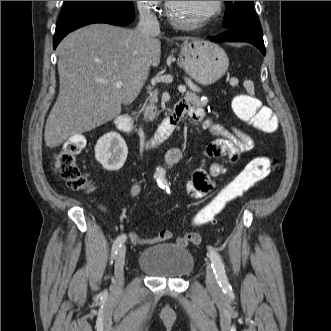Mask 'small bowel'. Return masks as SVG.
<instances>
[{"mask_svg": "<svg viewBox=\"0 0 331 331\" xmlns=\"http://www.w3.org/2000/svg\"><path fill=\"white\" fill-rule=\"evenodd\" d=\"M184 115H188L198 129H207L212 132L217 138L210 142L205 148V155L208 158L227 157L230 165H236L241 156L252 149L253 140L245 133L237 129L227 130L224 127L214 124L210 120L205 119L204 110L198 106L191 105L183 100L177 105ZM183 157V152L179 148H171L165 155V162L169 168L176 165ZM228 173V168L219 162H214L208 170L198 168L193 172L190 180L186 183L187 192L194 198L206 197L215 187L213 179L220 178ZM141 187L135 183L130 194L132 197L140 193ZM171 238L169 231H161L152 239H143L135 233L130 234V241L133 245L144 243H159L168 241ZM178 244L186 246L188 242L178 240Z\"/></svg>", "mask_w": 331, "mask_h": 331, "instance_id": "small-bowel-1", "label": "small bowel"}]
</instances>
